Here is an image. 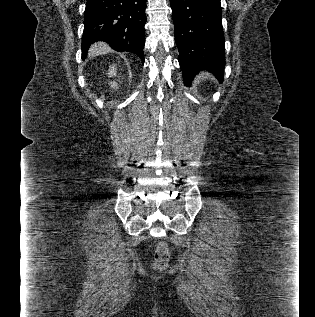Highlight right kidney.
<instances>
[{"label":"right kidney","mask_w":315,"mask_h":317,"mask_svg":"<svg viewBox=\"0 0 315 317\" xmlns=\"http://www.w3.org/2000/svg\"><path fill=\"white\" fill-rule=\"evenodd\" d=\"M108 75H109L110 77H113V76L116 75V67H115V65H111V66H110ZM110 86H111V88H114V89H115V88H118V85H117L116 82H111V83H110Z\"/></svg>","instance_id":"obj_1"}]
</instances>
